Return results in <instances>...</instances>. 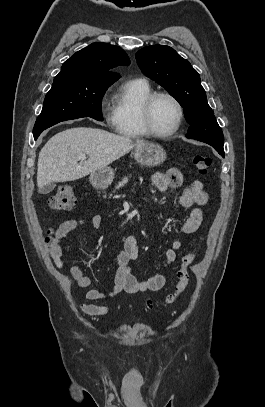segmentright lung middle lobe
I'll list each match as a JSON object with an SVG mask.
<instances>
[{
  "instance_id": "1",
  "label": "right lung middle lobe",
  "mask_w": 265,
  "mask_h": 407,
  "mask_svg": "<svg viewBox=\"0 0 265 407\" xmlns=\"http://www.w3.org/2000/svg\"><path fill=\"white\" fill-rule=\"evenodd\" d=\"M112 83L76 81L67 76H56L47 93L44 106L36 120L33 135L61 121L91 117L102 121L101 102Z\"/></svg>"
}]
</instances>
